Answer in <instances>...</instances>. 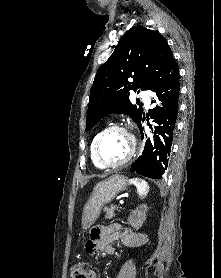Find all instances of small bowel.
<instances>
[{
    "instance_id": "c3829d8e",
    "label": "small bowel",
    "mask_w": 221,
    "mask_h": 278,
    "mask_svg": "<svg viewBox=\"0 0 221 278\" xmlns=\"http://www.w3.org/2000/svg\"><path fill=\"white\" fill-rule=\"evenodd\" d=\"M120 241L131 247H138L144 244L145 236L142 233L134 232L123 228L119 224H108L96 227L91 230L90 237L86 242V250L90 254H115L112 243ZM89 278H99L95 268L89 270Z\"/></svg>"
}]
</instances>
